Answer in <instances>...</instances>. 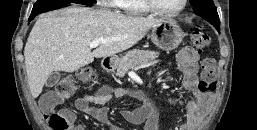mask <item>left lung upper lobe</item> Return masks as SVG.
I'll list each match as a JSON object with an SVG mask.
<instances>
[{"label":"left lung upper lobe","mask_w":257,"mask_h":130,"mask_svg":"<svg viewBox=\"0 0 257 130\" xmlns=\"http://www.w3.org/2000/svg\"><path fill=\"white\" fill-rule=\"evenodd\" d=\"M190 3L195 14L208 19L216 28L220 26L219 16L213 0H190Z\"/></svg>","instance_id":"1"}]
</instances>
